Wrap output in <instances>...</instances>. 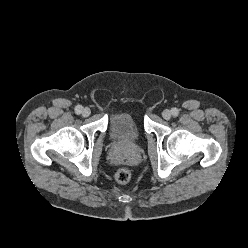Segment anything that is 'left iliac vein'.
<instances>
[{
	"mask_svg": "<svg viewBox=\"0 0 248 248\" xmlns=\"http://www.w3.org/2000/svg\"><path fill=\"white\" fill-rule=\"evenodd\" d=\"M162 116L165 120H169L171 117H172V112L168 109H165L163 112H162Z\"/></svg>",
	"mask_w": 248,
	"mask_h": 248,
	"instance_id": "obj_1",
	"label": "left iliac vein"
}]
</instances>
